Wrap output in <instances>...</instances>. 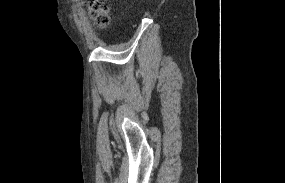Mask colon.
<instances>
[{"label":"colon","instance_id":"colon-1","mask_svg":"<svg viewBox=\"0 0 285 183\" xmlns=\"http://www.w3.org/2000/svg\"><path fill=\"white\" fill-rule=\"evenodd\" d=\"M110 0H89L88 10L98 28H105L109 24Z\"/></svg>","mask_w":285,"mask_h":183}]
</instances>
